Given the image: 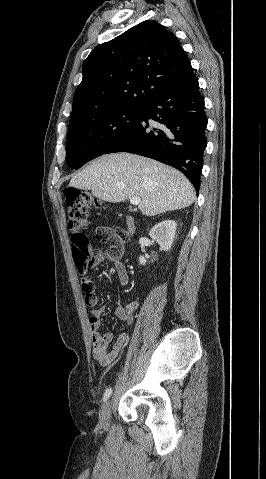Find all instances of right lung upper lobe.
Returning a JSON list of instances; mask_svg holds the SVG:
<instances>
[{
  "label": "right lung upper lobe",
  "mask_w": 266,
  "mask_h": 479,
  "mask_svg": "<svg viewBox=\"0 0 266 479\" xmlns=\"http://www.w3.org/2000/svg\"><path fill=\"white\" fill-rule=\"evenodd\" d=\"M82 71L70 121L143 107L162 89L193 74L178 39L155 20L143 21L95 47Z\"/></svg>",
  "instance_id": "obj_1"
}]
</instances>
